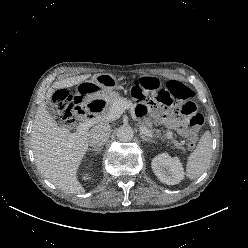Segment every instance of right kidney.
I'll use <instances>...</instances> for the list:
<instances>
[{
    "mask_svg": "<svg viewBox=\"0 0 248 248\" xmlns=\"http://www.w3.org/2000/svg\"><path fill=\"white\" fill-rule=\"evenodd\" d=\"M84 179H88L86 176L83 177Z\"/></svg>",
    "mask_w": 248,
    "mask_h": 248,
    "instance_id": "obj_1",
    "label": "right kidney"
}]
</instances>
